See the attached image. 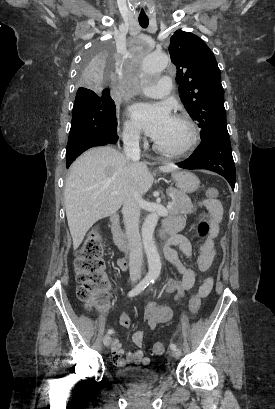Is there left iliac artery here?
<instances>
[{
    "instance_id": "left-iliac-artery-1",
    "label": "left iliac artery",
    "mask_w": 275,
    "mask_h": 409,
    "mask_svg": "<svg viewBox=\"0 0 275 409\" xmlns=\"http://www.w3.org/2000/svg\"><path fill=\"white\" fill-rule=\"evenodd\" d=\"M155 279H156V277H154V278L152 279V281H151L152 284L155 282ZM170 348H171V350H175V349H177V346H176L175 343H171V344H170Z\"/></svg>"
}]
</instances>
